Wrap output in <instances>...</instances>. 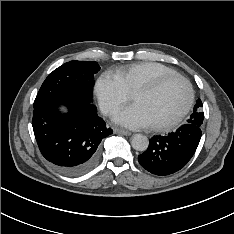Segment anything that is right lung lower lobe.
<instances>
[{
  "instance_id": "obj_1",
  "label": "right lung lower lobe",
  "mask_w": 234,
  "mask_h": 234,
  "mask_svg": "<svg viewBox=\"0 0 234 234\" xmlns=\"http://www.w3.org/2000/svg\"><path fill=\"white\" fill-rule=\"evenodd\" d=\"M61 105L68 108V113L59 111ZM32 125L42 155L71 176L81 175L95 165L101 140L113 133L92 103L73 98L35 107Z\"/></svg>"
}]
</instances>
